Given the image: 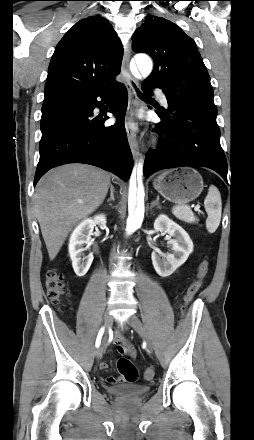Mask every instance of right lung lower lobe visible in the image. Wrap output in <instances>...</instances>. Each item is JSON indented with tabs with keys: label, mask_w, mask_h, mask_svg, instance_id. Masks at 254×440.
<instances>
[{
	"label": "right lung lower lobe",
	"mask_w": 254,
	"mask_h": 440,
	"mask_svg": "<svg viewBox=\"0 0 254 440\" xmlns=\"http://www.w3.org/2000/svg\"><path fill=\"white\" fill-rule=\"evenodd\" d=\"M65 95L68 102L41 126L40 159L34 186L48 170L68 163L94 165L128 180L133 157L124 125L128 104L124 84L111 89H79ZM112 96L114 103L109 112L116 116V123L104 127L108 117H95L93 110L101 108Z\"/></svg>",
	"instance_id": "right-lung-lower-lobe-1"
}]
</instances>
